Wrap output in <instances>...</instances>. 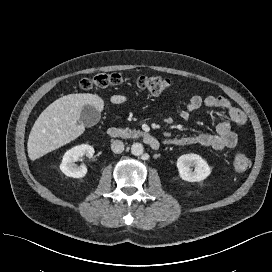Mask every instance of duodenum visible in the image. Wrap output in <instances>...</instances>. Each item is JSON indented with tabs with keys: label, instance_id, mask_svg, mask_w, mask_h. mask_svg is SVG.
Masks as SVG:
<instances>
[{
	"label": "duodenum",
	"instance_id": "duodenum-1",
	"mask_svg": "<svg viewBox=\"0 0 272 272\" xmlns=\"http://www.w3.org/2000/svg\"><path fill=\"white\" fill-rule=\"evenodd\" d=\"M108 136L112 139H118L121 137V131L117 127H110L108 129ZM141 140L147 144L151 149L158 150L160 147L159 141L148 133L140 135Z\"/></svg>",
	"mask_w": 272,
	"mask_h": 272
}]
</instances>
